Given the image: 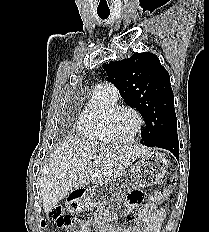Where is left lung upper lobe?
<instances>
[{
  "label": "left lung upper lobe",
  "mask_w": 209,
  "mask_h": 232,
  "mask_svg": "<svg viewBox=\"0 0 209 232\" xmlns=\"http://www.w3.org/2000/svg\"><path fill=\"white\" fill-rule=\"evenodd\" d=\"M106 72L126 104L144 118L141 137L146 146L155 147L162 136L177 131L170 76L155 54L134 53L108 64Z\"/></svg>",
  "instance_id": "1"
}]
</instances>
